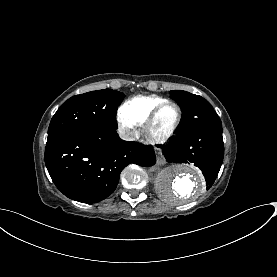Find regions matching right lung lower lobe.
I'll use <instances>...</instances> for the list:
<instances>
[{"label":"right lung lower lobe","mask_w":277,"mask_h":277,"mask_svg":"<svg viewBox=\"0 0 277 277\" xmlns=\"http://www.w3.org/2000/svg\"><path fill=\"white\" fill-rule=\"evenodd\" d=\"M151 146L123 141L116 128L71 131L47 140L45 164L56 187L68 198L95 203L114 192L121 171L130 163L149 167Z\"/></svg>","instance_id":"right-lung-lower-lobe-1"}]
</instances>
